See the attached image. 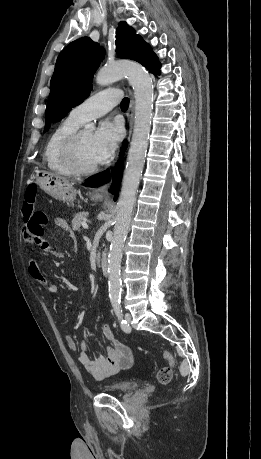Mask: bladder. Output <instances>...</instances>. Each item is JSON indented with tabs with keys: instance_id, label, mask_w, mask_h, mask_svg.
I'll list each match as a JSON object with an SVG mask.
<instances>
[{
	"instance_id": "bladder-1",
	"label": "bladder",
	"mask_w": 261,
	"mask_h": 459,
	"mask_svg": "<svg viewBox=\"0 0 261 459\" xmlns=\"http://www.w3.org/2000/svg\"><path fill=\"white\" fill-rule=\"evenodd\" d=\"M138 384L135 382L125 381L109 384L105 386V390L108 392H119V393H130L137 389Z\"/></svg>"
}]
</instances>
